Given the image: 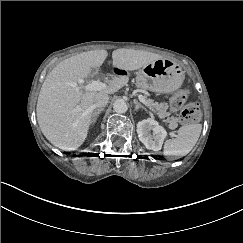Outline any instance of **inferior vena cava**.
<instances>
[{
  "instance_id": "inferior-vena-cava-1",
  "label": "inferior vena cava",
  "mask_w": 243,
  "mask_h": 243,
  "mask_svg": "<svg viewBox=\"0 0 243 243\" xmlns=\"http://www.w3.org/2000/svg\"><path fill=\"white\" fill-rule=\"evenodd\" d=\"M109 102V95L106 93H99L95 97L94 106L103 107L106 106Z\"/></svg>"
}]
</instances>
